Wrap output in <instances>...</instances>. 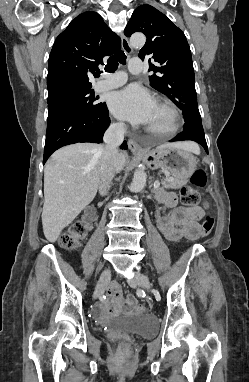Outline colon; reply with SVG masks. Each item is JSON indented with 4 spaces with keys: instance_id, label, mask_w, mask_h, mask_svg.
<instances>
[{
    "instance_id": "obj_1",
    "label": "colon",
    "mask_w": 249,
    "mask_h": 382,
    "mask_svg": "<svg viewBox=\"0 0 249 382\" xmlns=\"http://www.w3.org/2000/svg\"><path fill=\"white\" fill-rule=\"evenodd\" d=\"M191 183L194 186L203 187L206 184L205 172L202 169L195 170L191 176ZM180 199L182 204L187 207L196 206L200 200L196 190L190 186H186L182 188L180 193ZM213 227H214V220L212 217L207 215L204 218V221L202 224L203 235H208L209 233H211ZM87 230L88 229L86 228V224H83L81 221L76 222L71 227L69 233L64 235L61 238L60 240L61 246L66 250H76L80 246L81 241L86 237ZM134 308L139 313H142L145 311V307L142 304H136ZM123 349L127 350L128 346L124 344Z\"/></svg>"
}]
</instances>
